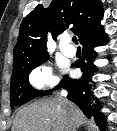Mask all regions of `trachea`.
Wrapping results in <instances>:
<instances>
[{
	"label": "trachea",
	"instance_id": "3493384b",
	"mask_svg": "<svg viewBox=\"0 0 117 131\" xmlns=\"http://www.w3.org/2000/svg\"><path fill=\"white\" fill-rule=\"evenodd\" d=\"M72 41H73L75 44H78V40H77L76 37H73V38H72Z\"/></svg>",
	"mask_w": 117,
	"mask_h": 131
}]
</instances>
